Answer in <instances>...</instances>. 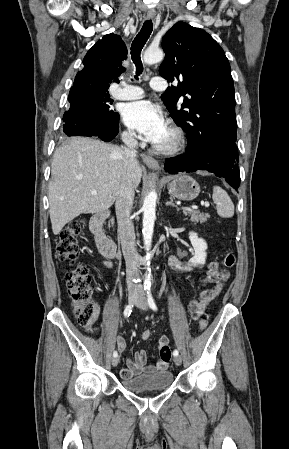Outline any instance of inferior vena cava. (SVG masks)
<instances>
[{"mask_svg": "<svg viewBox=\"0 0 289 449\" xmlns=\"http://www.w3.org/2000/svg\"><path fill=\"white\" fill-rule=\"evenodd\" d=\"M122 141L126 145V147L122 148L124 155V168L121 174L116 197L115 210L117 215L118 233L121 240L123 255L126 261L128 291L141 293V284L133 282L134 276H138L139 273L140 256L135 249L134 224L130 216L135 196L132 183V168L137 161L136 148L138 146V142L132 133L123 134Z\"/></svg>", "mask_w": 289, "mask_h": 449, "instance_id": "1", "label": "inferior vena cava"}]
</instances>
